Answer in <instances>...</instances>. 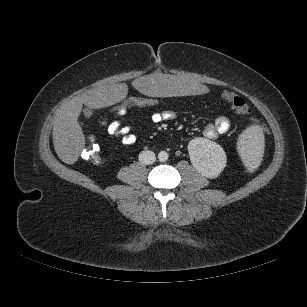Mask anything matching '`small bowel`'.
Listing matches in <instances>:
<instances>
[{"label":"small bowel","mask_w":307,"mask_h":307,"mask_svg":"<svg viewBox=\"0 0 307 307\" xmlns=\"http://www.w3.org/2000/svg\"><path fill=\"white\" fill-rule=\"evenodd\" d=\"M175 118V113L171 110L157 111L151 114L152 124H161ZM127 115L116 120L109 121L107 114L103 115L102 121L106 132L121 139L125 145H132L137 140V134L132 124L127 123ZM230 128V120L225 116L217 117L213 123L207 125L204 135L209 139H215L219 135L226 133Z\"/></svg>","instance_id":"1"}]
</instances>
